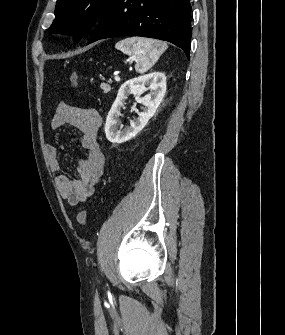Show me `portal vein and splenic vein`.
<instances>
[{
	"mask_svg": "<svg viewBox=\"0 0 285 335\" xmlns=\"http://www.w3.org/2000/svg\"><path fill=\"white\" fill-rule=\"evenodd\" d=\"M115 80H116V82H120L119 76H115Z\"/></svg>",
	"mask_w": 285,
	"mask_h": 335,
	"instance_id": "portal-vein-and-splenic-vein-1",
	"label": "portal vein and splenic vein"
}]
</instances>
